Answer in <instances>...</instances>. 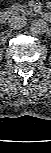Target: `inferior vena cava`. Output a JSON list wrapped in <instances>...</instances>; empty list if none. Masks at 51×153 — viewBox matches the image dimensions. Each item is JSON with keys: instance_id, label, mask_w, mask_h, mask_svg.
<instances>
[{"instance_id": "602c4592", "label": "inferior vena cava", "mask_w": 51, "mask_h": 153, "mask_svg": "<svg viewBox=\"0 0 51 153\" xmlns=\"http://www.w3.org/2000/svg\"><path fill=\"white\" fill-rule=\"evenodd\" d=\"M8 24L13 29H21L26 26L27 18L24 16L15 15L9 19Z\"/></svg>"}]
</instances>
